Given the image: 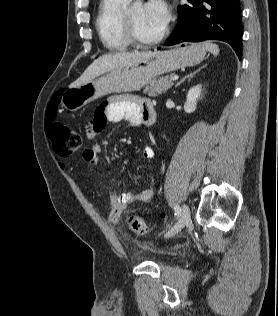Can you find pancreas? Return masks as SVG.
<instances>
[{
  "instance_id": "1",
  "label": "pancreas",
  "mask_w": 278,
  "mask_h": 316,
  "mask_svg": "<svg viewBox=\"0 0 278 316\" xmlns=\"http://www.w3.org/2000/svg\"><path fill=\"white\" fill-rule=\"evenodd\" d=\"M172 76L171 77H160L150 82V85L145 86L143 93H147L151 97H156L165 93L169 88L172 87Z\"/></svg>"
}]
</instances>
